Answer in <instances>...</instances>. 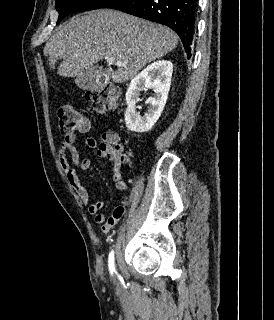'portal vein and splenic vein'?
<instances>
[{
  "label": "portal vein and splenic vein",
  "instance_id": "portal-vein-and-splenic-vein-1",
  "mask_svg": "<svg viewBox=\"0 0 274 320\" xmlns=\"http://www.w3.org/2000/svg\"><path fill=\"white\" fill-rule=\"evenodd\" d=\"M106 62H108V64H114L113 58H106ZM117 66H125V64H123V62H117Z\"/></svg>",
  "mask_w": 274,
  "mask_h": 320
}]
</instances>
